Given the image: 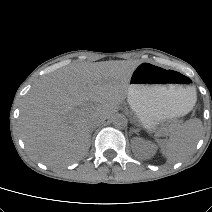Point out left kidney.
<instances>
[{"label":"left kidney","mask_w":212,"mask_h":212,"mask_svg":"<svg viewBox=\"0 0 212 212\" xmlns=\"http://www.w3.org/2000/svg\"><path fill=\"white\" fill-rule=\"evenodd\" d=\"M133 142L136 144L135 153L141 158L147 159L156 152V146L150 141L135 138Z\"/></svg>","instance_id":"5707ae66"}]
</instances>
